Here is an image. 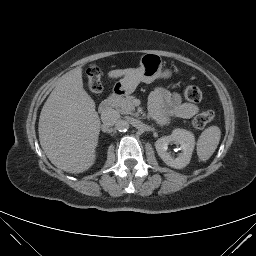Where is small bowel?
Instances as JSON below:
<instances>
[{
	"mask_svg": "<svg viewBox=\"0 0 256 256\" xmlns=\"http://www.w3.org/2000/svg\"><path fill=\"white\" fill-rule=\"evenodd\" d=\"M149 111L159 124H167L172 118H191L199 112V107L184 102L181 95L162 87L155 88L149 98Z\"/></svg>",
	"mask_w": 256,
	"mask_h": 256,
	"instance_id": "small-bowel-1",
	"label": "small bowel"
}]
</instances>
